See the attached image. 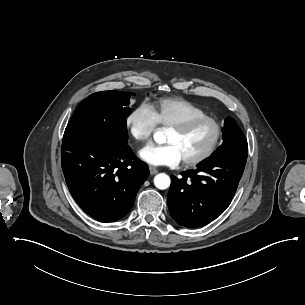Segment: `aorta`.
Masks as SVG:
<instances>
[{"label": "aorta", "instance_id": "1", "mask_svg": "<svg viewBox=\"0 0 305 305\" xmlns=\"http://www.w3.org/2000/svg\"><path fill=\"white\" fill-rule=\"evenodd\" d=\"M164 134L161 131L154 133V140L157 143H162L164 141ZM170 177L165 173H159L154 177V185L161 190H165L170 186Z\"/></svg>", "mask_w": 305, "mask_h": 305}]
</instances>
